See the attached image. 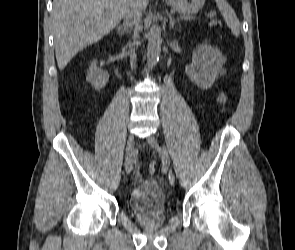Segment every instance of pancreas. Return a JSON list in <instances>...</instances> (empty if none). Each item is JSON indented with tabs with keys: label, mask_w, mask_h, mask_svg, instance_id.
<instances>
[{
	"label": "pancreas",
	"mask_w": 295,
	"mask_h": 250,
	"mask_svg": "<svg viewBox=\"0 0 295 250\" xmlns=\"http://www.w3.org/2000/svg\"><path fill=\"white\" fill-rule=\"evenodd\" d=\"M212 24H216V21H213Z\"/></svg>",
	"instance_id": "cf45deb5"
}]
</instances>
